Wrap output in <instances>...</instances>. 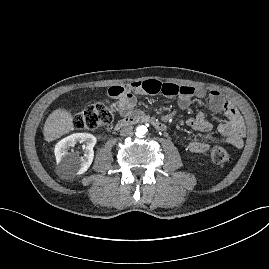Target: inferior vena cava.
Here are the masks:
<instances>
[{"label":"inferior vena cava","instance_id":"602c4592","mask_svg":"<svg viewBox=\"0 0 269 269\" xmlns=\"http://www.w3.org/2000/svg\"><path fill=\"white\" fill-rule=\"evenodd\" d=\"M120 134L122 136H131V135H133V128L131 126H129V127H123L120 130Z\"/></svg>","mask_w":269,"mask_h":269}]
</instances>
